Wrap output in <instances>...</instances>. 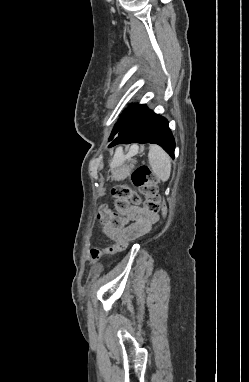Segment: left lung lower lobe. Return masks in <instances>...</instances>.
<instances>
[{
  "label": "left lung lower lobe",
  "instance_id": "left-lung-lower-lobe-1",
  "mask_svg": "<svg viewBox=\"0 0 249 382\" xmlns=\"http://www.w3.org/2000/svg\"><path fill=\"white\" fill-rule=\"evenodd\" d=\"M129 143L158 144L174 157L175 141L168 127V121L149 109L131 128L119 133L109 147Z\"/></svg>",
  "mask_w": 249,
  "mask_h": 382
}]
</instances>
